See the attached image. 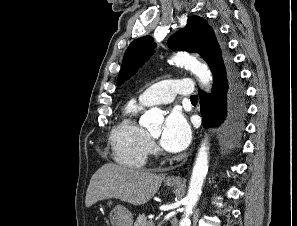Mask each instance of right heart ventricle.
<instances>
[{
    "label": "right heart ventricle",
    "mask_w": 297,
    "mask_h": 226,
    "mask_svg": "<svg viewBox=\"0 0 297 226\" xmlns=\"http://www.w3.org/2000/svg\"><path fill=\"white\" fill-rule=\"evenodd\" d=\"M143 107L141 101H129L111 132L113 158L123 166L141 168L147 160L150 139L137 120Z\"/></svg>",
    "instance_id": "1"
}]
</instances>
